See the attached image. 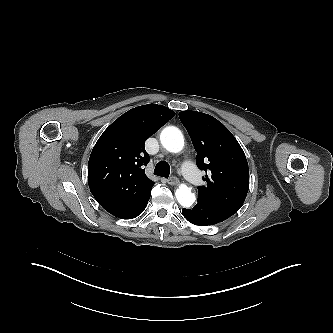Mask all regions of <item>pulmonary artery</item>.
Masks as SVG:
<instances>
[{
	"mask_svg": "<svg viewBox=\"0 0 333 333\" xmlns=\"http://www.w3.org/2000/svg\"><path fill=\"white\" fill-rule=\"evenodd\" d=\"M182 171L187 180L193 185L201 183V177L196 167L190 161H184L182 164Z\"/></svg>",
	"mask_w": 333,
	"mask_h": 333,
	"instance_id": "obj_1",
	"label": "pulmonary artery"
}]
</instances>
